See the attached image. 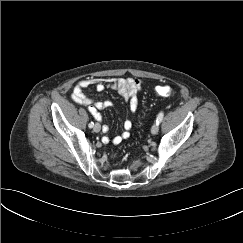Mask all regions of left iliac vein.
<instances>
[{"instance_id": "4c4485c4", "label": "left iliac vein", "mask_w": 243, "mask_h": 243, "mask_svg": "<svg viewBox=\"0 0 243 243\" xmlns=\"http://www.w3.org/2000/svg\"><path fill=\"white\" fill-rule=\"evenodd\" d=\"M158 131H159V124L155 123L151 128V133L155 135L158 133Z\"/></svg>"}]
</instances>
